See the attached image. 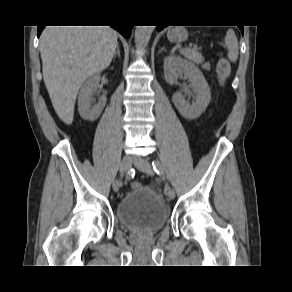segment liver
Instances as JSON below:
<instances>
[{"instance_id": "6515ba94", "label": "liver", "mask_w": 292, "mask_h": 292, "mask_svg": "<svg viewBox=\"0 0 292 292\" xmlns=\"http://www.w3.org/2000/svg\"><path fill=\"white\" fill-rule=\"evenodd\" d=\"M110 26H46L40 36L42 72L59 118L70 125L82 83L109 66L117 48Z\"/></svg>"}]
</instances>
